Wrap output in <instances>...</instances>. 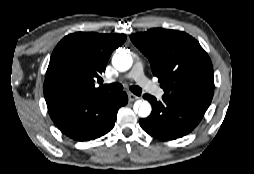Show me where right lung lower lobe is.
<instances>
[{
    "instance_id": "obj_1",
    "label": "right lung lower lobe",
    "mask_w": 254,
    "mask_h": 174,
    "mask_svg": "<svg viewBox=\"0 0 254 174\" xmlns=\"http://www.w3.org/2000/svg\"><path fill=\"white\" fill-rule=\"evenodd\" d=\"M128 102L120 94H74L48 106L55 125L66 136L88 141L109 132L116 121L117 111Z\"/></svg>"
}]
</instances>
